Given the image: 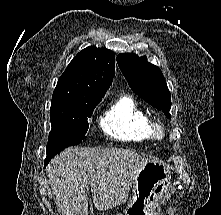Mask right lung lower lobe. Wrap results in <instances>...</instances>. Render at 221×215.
Here are the masks:
<instances>
[{
    "instance_id": "1",
    "label": "right lung lower lobe",
    "mask_w": 221,
    "mask_h": 215,
    "mask_svg": "<svg viewBox=\"0 0 221 215\" xmlns=\"http://www.w3.org/2000/svg\"><path fill=\"white\" fill-rule=\"evenodd\" d=\"M50 160H45L44 161V167L49 163Z\"/></svg>"
}]
</instances>
